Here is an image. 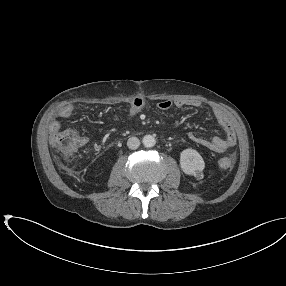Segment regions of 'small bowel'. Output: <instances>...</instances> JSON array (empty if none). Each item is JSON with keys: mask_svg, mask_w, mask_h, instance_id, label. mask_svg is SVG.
Wrapping results in <instances>:
<instances>
[{"mask_svg": "<svg viewBox=\"0 0 286 286\" xmlns=\"http://www.w3.org/2000/svg\"><path fill=\"white\" fill-rule=\"evenodd\" d=\"M146 99L144 97H136L129 106V116L134 117L138 113H140L143 108L146 106ZM185 106H189L192 108H199L201 106V103L196 100H190V101H184V100H163L160 101L157 104V107L162 111H167L171 109L172 107L176 108H183ZM75 111V107L71 104H67L62 106L57 111V116L60 118H69L73 115ZM213 114L216 120L220 123V125L223 127L226 136L224 138H204L201 136H198L194 132H189L188 137L189 139L194 142L195 144L206 148L208 150L217 152V153H227L229 152L236 144V134L233 122L229 115L220 108H214ZM60 123L57 120H54L50 124V133L51 136L60 130Z\"/></svg>", "mask_w": 286, "mask_h": 286, "instance_id": "1", "label": "small bowel"}]
</instances>
